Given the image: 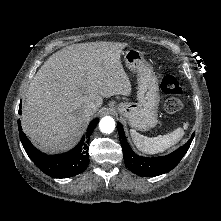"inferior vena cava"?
I'll return each instance as SVG.
<instances>
[{
	"label": "inferior vena cava",
	"instance_id": "602c4592",
	"mask_svg": "<svg viewBox=\"0 0 221 221\" xmlns=\"http://www.w3.org/2000/svg\"><path fill=\"white\" fill-rule=\"evenodd\" d=\"M98 109V106L95 103H88L84 106V113L91 116L96 112Z\"/></svg>",
	"mask_w": 221,
	"mask_h": 221
}]
</instances>
